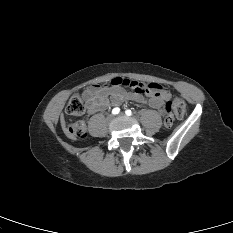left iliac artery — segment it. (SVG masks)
Returning a JSON list of instances; mask_svg holds the SVG:
<instances>
[{
    "label": "left iliac artery",
    "mask_w": 233,
    "mask_h": 233,
    "mask_svg": "<svg viewBox=\"0 0 233 233\" xmlns=\"http://www.w3.org/2000/svg\"><path fill=\"white\" fill-rule=\"evenodd\" d=\"M126 115H128V116H131L132 115V111L131 110H126Z\"/></svg>",
    "instance_id": "left-iliac-artery-1"
}]
</instances>
